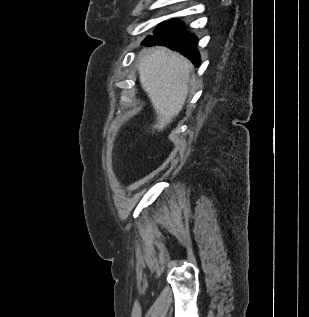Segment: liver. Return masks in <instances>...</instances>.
<instances>
[{"instance_id":"6515ba94","label":"liver","mask_w":309,"mask_h":317,"mask_svg":"<svg viewBox=\"0 0 309 317\" xmlns=\"http://www.w3.org/2000/svg\"><path fill=\"white\" fill-rule=\"evenodd\" d=\"M192 64L166 48L144 50L139 56L138 72L157 115L153 129L162 131L182 110Z\"/></svg>"}]
</instances>
